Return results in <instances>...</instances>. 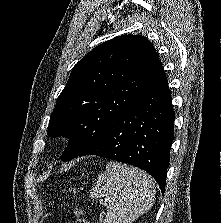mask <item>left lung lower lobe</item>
Listing matches in <instances>:
<instances>
[{
  "mask_svg": "<svg viewBox=\"0 0 221 223\" xmlns=\"http://www.w3.org/2000/svg\"><path fill=\"white\" fill-rule=\"evenodd\" d=\"M175 113L164 70L107 131L79 156L97 155L139 167L165 191Z\"/></svg>",
  "mask_w": 221,
  "mask_h": 223,
  "instance_id": "left-lung-lower-lobe-1",
  "label": "left lung lower lobe"
}]
</instances>
